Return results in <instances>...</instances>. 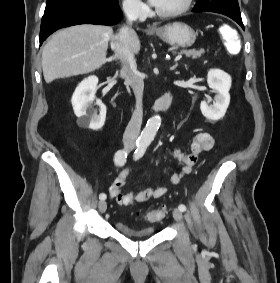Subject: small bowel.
Instances as JSON below:
<instances>
[{
	"label": "small bowel",
	"instance_id": "small-bowel-1",
	"mask_svg": "<svg viewBox=\"0 0 280 283\" xmlns=\"http://www.w3.org/2000/svg\"><path fill=\"white\" fill-rule=\"evenodd\" d=\"M213 146V136L208 132H199L194 136L191 142L189 153H182L177 149L174 150L173 155L182 162L183 169L181 173L172 175V182H179L183 175L188 174L191 171L192 167L197 163L200 155L203 152L211 150ZM128 177L129 169H122L109 187L110 197L120 206H131L149 199H157L166 193V188L164 187H148L135 192L124 193L122 192V188L125 186Z\"/></svg>",
	"mask_w": 280,
	"mask_h": 283
}]
</instances>
